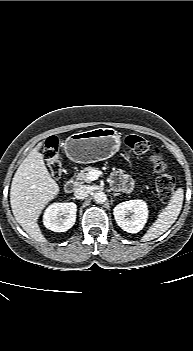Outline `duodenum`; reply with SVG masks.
I'll return each instance as SVG.
<instances>
[{"label": "duodenum", "instance_id": "duodenum-1", "mask_svg": "<svg viewBox=\"0 0 193 351\" xmlns=\"http://www.w3.org/2000/svg\"><path fill=\"white\" fill-rule=\"evenodd\" d=\"M75 187H76V183L73 180H68L64 185V189L67 193H72Z\"/></svg>", "mask_w": 193, "mask_h": 351}]
</instances>
